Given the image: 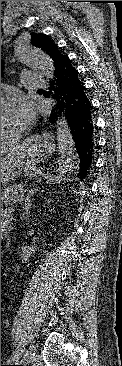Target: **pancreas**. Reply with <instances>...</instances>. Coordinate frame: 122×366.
Segmentation results:
<instances>
[{
    "mask_svg": "<svg viewBox=\"0 0 122 366\" xmlns=\"http://www.w3.org/2000/svg\"><path fill=\"white\" fill-rule=\"evenodd\" d=\"M24 192L25 189L22 184H12L1 192V202L9 204L10 201H17Z\"/></svg>",
    "mask_w": 122,
    "mask_h": 366,
    "instance_id": "pancreas-1",
    "label": "pancreas"
}]
</instances>
